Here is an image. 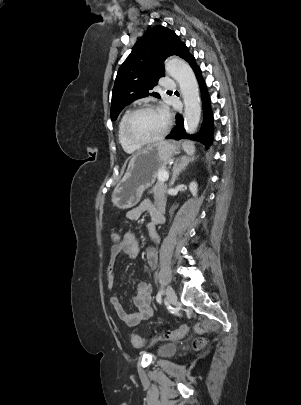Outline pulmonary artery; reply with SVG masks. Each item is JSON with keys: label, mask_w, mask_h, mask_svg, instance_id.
<instances>
[{"label": "pulmonary artery", "mask_w": 301, "mask_h": 405, "mask_svg": "<svg viewBox=\"0 0 301 405\" xmlns=\"http://www.w3.org/2000/svg\"><path fill=\"white\" fill-rule=\"evenodd\" d=\"M162 85L167 90H173L175 88V82L171 78L167 77L163 79Z\"/></svg>", "instance_id": "1"}]
</instances>
